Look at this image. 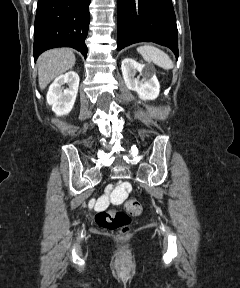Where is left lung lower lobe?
I'll list each match as a JSON object with an SVG mask.
<instances>
[{"mask_svg": "<svg viewBox=\"0 0 240 288\" xmlns=\"http://www.w3.org/2000/svg\"><path fill=\"white\" fill-rule=\"evenodd\" d=\"M117 50L137 42L170 48L178 58V31L171 0H118Z\"/></svg>", "mask_w": 240, "mask_h": 288, "instance_id": "0a47b994", "label": "left lung lower lobe"}]
</instances>
